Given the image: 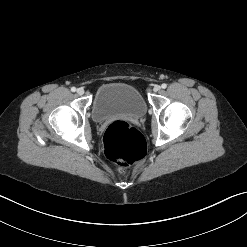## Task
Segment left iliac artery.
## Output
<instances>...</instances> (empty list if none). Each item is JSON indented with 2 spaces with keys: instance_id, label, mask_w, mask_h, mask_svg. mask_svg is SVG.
<instances>
[{
  "instance_id": "left-iliac-artery-1",
  "label": "left iliac artery",
  "mask_w": 247,
  "mask_h": 247,
  "mask_svg": "<svg viewBox=\"0 0 247 247\" xmlns=\"http://www.w3.org/2000/svg\"><path fill=\"white\" fill-rule=\"evenodd\" d=\"M161 87H162L163 89H165V88L167 87V84L163 83V84L161 85Z\"/></svg>"
}]
</instances>
